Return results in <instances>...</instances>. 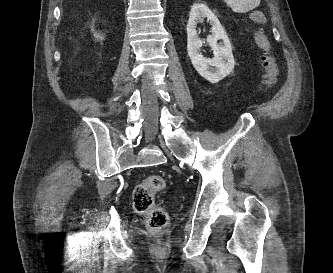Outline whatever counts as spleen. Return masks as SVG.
<instances>
[{
    "label": "spleen",
    "instance_id": "spleen-1",
    "mask_svg": "<svg viewBox=\"0 0 333 273\" xmlns=\"http://www.w3.org/2000/svg\"><path fill=\"white\" fill-rule=\"evenodd\" d=\"M237 13H245L255 9L261 0H224Z\"/></svg>",
    "mask_w": 333,
    "mask_h": 273
}]
</instances>
